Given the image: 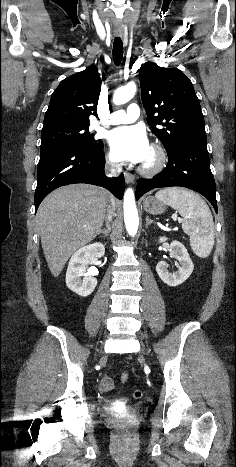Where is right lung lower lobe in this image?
<instances>
[{
	"label": "right lung lower lobe",
	"mask_w": 236,
	"mask_h": 467,
	"mask_svg": "<svg viewBox=\"0 0 236 467\" xmlns=\"http://www.w3.org/2000/svg\"><path fill=\"white\" fill-rule=\"evenodd\" d=\"M103 145L88 150L73 145H58L40 150L35 190V210L54 189L74 183H88L108 188L118 199L124 193V176L107 178L104 173Z\"/></svg>",
	"instance_id": "right-lung-lower-lobe-1"
}]
</instances>
